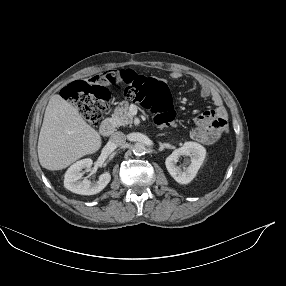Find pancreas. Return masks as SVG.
I'll use <instances>...</instances> for the list:
<instances>
[{"mask_svg":"<svg viewBox=\"0 0 286 286\" xmlns=\"http://www.w3.org/2000/svg\"><path fill=\"white\" fill-rule=\"evenodd\" d=\"M112 119L117 126L131 125L133 122V116L129 112L128 102H121L114 110Z\"/></svg>","mask_w":286,"mask_h":286,"instance_id":"pancreas-1","label":"pancreas"}]
</instances>
